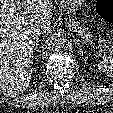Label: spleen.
Instances as JSON below:
<instances>
[{
    "label": "spleen",
    "mask_w": 113,
    "mask_h": 113,
    "mask_svg": "<svg viewBox=\"0 0 113 113\" xmlns=\"http://www.w3.org/2000/svg\"><path fill=\"white\" fill-rule=\"evenodd\" d=\"M97 66L106 76L113 77V45L111 46L108 56L100 61Z\"/></svg>",
    "instance_id": "obj_1"
}]
</instances>
